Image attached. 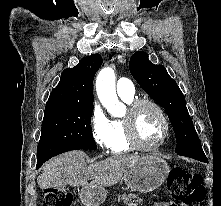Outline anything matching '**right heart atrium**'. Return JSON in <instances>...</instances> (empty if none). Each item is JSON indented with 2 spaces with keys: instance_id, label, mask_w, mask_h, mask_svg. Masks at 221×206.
<instances>
[{
  "instance_id": "1",
  "label": "right heart atrium",
  "mask_w": 221,
  "mask_h": 206,
  "mask_svg": "<svg viewBox=\"0 0 221 206\" xmlns=\"http://www.w3.org/2000/svg\"><path fill=\"white\" fill-rule=\"evenodd\" d=\"M92 137L96 144L102 149L110 146V121L98 102L94 103L91 113Z\"/></svg>"
}]
</instances>
